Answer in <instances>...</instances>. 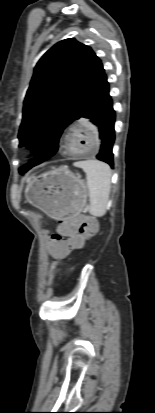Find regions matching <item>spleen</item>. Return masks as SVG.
<instances>
[{"mask_svg":"<svg viewBox=\"0 0 155 413\" xmlns=\"http://www.w3.org/2000/svg\"><path fill=\"white\" fill-rule=\"evenodd\" d=\"M74 166L81 168L86 173L87 187L89 190V212L94 217H102L107 212L111 189V169L101 161L89 159L75 162Z\"/></svg>","mask_w":155,"mask_h":413,"instance_id":"obj_1","label":"spleen"}]
</instances>
